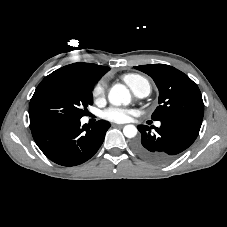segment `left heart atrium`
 I'll return each mask as SVG.
<instances>
[{
    "instance_id": "obj_1",
    "label": "left heart atrium",
    "mask_w": 227,
    "mask_h": 227,
    "mask_svg": "<svg viewBox=\"0 0 227 227\" xmlns=\"http://www.w3.org/2000/svg\"><path fill=\"white\" fill-rule=\"evenodd\" d=\"M132 111L120 107H111L104 111L103 117L111 122L123 123L129 120Z\"/></svg>"
}]
</instances>
